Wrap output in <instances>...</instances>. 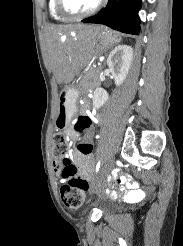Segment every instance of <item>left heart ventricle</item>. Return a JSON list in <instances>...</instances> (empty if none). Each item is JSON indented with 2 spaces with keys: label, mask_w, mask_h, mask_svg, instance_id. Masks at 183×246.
<instances>
[{
  "label": "left heart ventricle",
  "mask_w": 183,
  "mask_h": 246,
  "mask_svg": "<svg viewBox=\"0 0 183 246\" xmlns=\"http://www.w3.org/2000/svg\"><path fill=\"white\" fill-rule=\"evenodd\" d=\"M68 8L80 13L89 10L98 0H66Z\"/></svg>",
  "instance_id": "1"
}]
</instances>
